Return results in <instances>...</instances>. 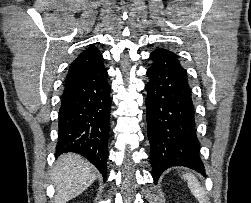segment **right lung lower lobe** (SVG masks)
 <instances>
[{
    "label": "right lung lower lobe",
    "instance_id": "98d812e1",
    "mask_svg": "<svg viewBox=\"0 0 251 203\" xmlns=\"http://www.w3.org/2000/svg\"><path fill=\"white\" fill-rule=\"evenodd\" d=\"M104 65L64 88L61 97L56 152L87 158L107 177L110 85Z\"/></svg>",
    "mask_w": 251,
    "mask_h": 203
}]
</instances>
